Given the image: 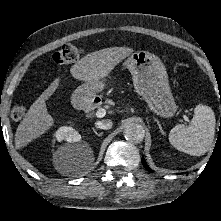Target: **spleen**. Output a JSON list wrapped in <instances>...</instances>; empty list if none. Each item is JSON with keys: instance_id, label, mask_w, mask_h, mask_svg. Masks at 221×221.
<instances>
[{"instance_id": "3e777b00", "label": "spleen", "mask_w": 221, "mask_h": 221, "mask_svg": "<svg viewBox=\"0 0 221 221\" xmlns=\"http://www.w3.org/2000/svg\"><path fill=\"white\" fill-rule=\"evenodd\" d=\"M215 124L212 108L199 104L194 108L191 125H176L169 133V141L179 151L192 156H201L213 143Z\"/></svg>"}]
</instances>
